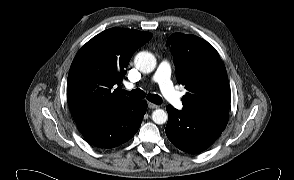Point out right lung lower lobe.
<instances>
[{
    "label": "right lung lower lobe",
    "mask_w": 294,
    "mask_h": 180,
    "mask_svg": "<svg viewBox=\"0 0 294 180\" xmlns=\"http://www.w3.org/2000/svg\"><path fill=\"white\" fill-rule=\"evenodd\" d=\"M146 109L145 100H128L104 115L78 122L77 126L92 145L113 148L135 135Z\"/></svg>",
    "instance_id": "obj_1"
}]
</instances>
